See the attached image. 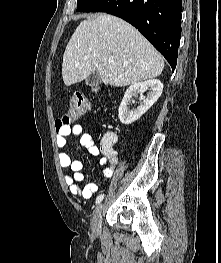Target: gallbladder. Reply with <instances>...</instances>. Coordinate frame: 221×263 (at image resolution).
I'll return each mask as SVG.
<instances>
[{
  "label": "gallbladder",
  "instance_id": "obj_1",
  "mask_svg": "<svg viewBox=\"0 0 221 263\" xmlns=\"http://www.w3.org/2000/svg\"><path fill=\"white\" fill-rule=\"evenodd\" d=\"M101 83L100 75L97 71L92 73L87 79H86V85L89 87H97Z\"/></svg>",
  "mask_w": 221,
  "mask_h": 263
}]
</instances>
